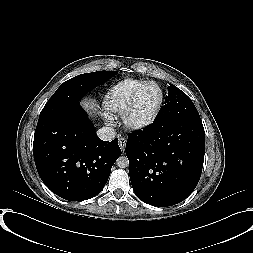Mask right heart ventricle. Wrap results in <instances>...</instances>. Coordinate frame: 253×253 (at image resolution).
<instances>
[{"label":"right heart ventricle","mask_w":253,"mask_h":253,"mask_svg":"<svg viewBox=\"0 0 253 253\" xmlns=\"http://www.w3.org/2000/svg\"><path fill=\"white\" fill-rule=\"evenodd\" d=\"M145 82L142 79L126 78L112 85L104 98L107 111L122 114L131 101L136 89Z\"/></svg>","instance_id":"obj_1"}]
</instances>
